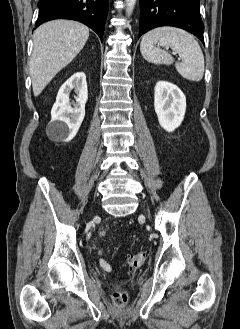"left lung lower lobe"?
I'll list each match as a JSON object with an SVG mask.
<instances>
[{"label":"left lung lower lobe","instance_id":"1","mask_svg":"<svg viewBox=\"0 0 240 329\" xmlns=\"http://www.w3.org/2000/svg\"><path fill=\"white\" fill-rule=\"evenodd\" d=\"M199 5L200 0H140L139 37L156 27L174 26L194 34L204 43Z\"/></svg>","mask_w":240,"mask_h":329}]
</instances>
